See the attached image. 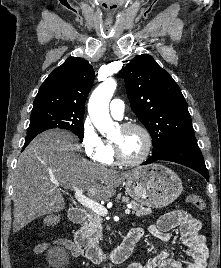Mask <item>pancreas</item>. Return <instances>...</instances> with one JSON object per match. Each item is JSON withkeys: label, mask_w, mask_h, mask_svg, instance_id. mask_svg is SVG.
<instances>
[{"label": "pancreas", "mask_w": 221, "mask_h": 268, "mask_svg": "<svg viewBox=\"0 0 221 268\" xmlns=\"http://www.w3.org/2000/svg\"><path fill=\"white\" fill-rule=\"evenodd\" d=\"M122 200L128 203L129 199L123 197ZM130 204L132 205L133 213L136 216H144L151 213L150 208H145L142 204H139L135 201H131ZM102 218L95 214L91 213L88 216V221L84 223L82 226V234L85 238L89 240L92 244H98L99 241L102 239Z\"/></svg>", "instance_id": "1"}]
</instances>
